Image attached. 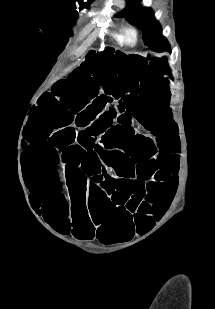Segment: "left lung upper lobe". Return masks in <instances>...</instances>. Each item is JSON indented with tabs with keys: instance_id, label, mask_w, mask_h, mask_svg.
Segmentation results:
<instances>
[{
	"instance_id": "obj_1",
	"label": "left lung upper lobe",
	"mask_w": 215,
	"mask_h": 309,
	"mask_svg": "<svg viewBox=\"0 0 215 309\" xmlns=\"http://www.w3.org/2000/svg\"><path fill=\"white\" fill-rule=\"evenodd\" d=\"M129 7L120 13L143 32V40L152 51L161 52L169 48L167 40L162 36L159 24L154 20L149 9L139 5L140 0H128Z\"/></svg>"
}]
</instances>
